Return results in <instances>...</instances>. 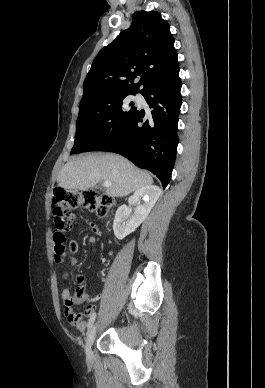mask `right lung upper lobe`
<instances>
[{"mask_svg": "<svg viewBox=\"0 0 265 388\" xmlns=\"http://www.w3.org/2000/svg\"><path fill=\"white\" fill-rule=\"evenodd\" d=\"M179 73L174 38L158 12L137 11L129 30L101 49L84 81L83 98L100 91L131 93ZM141 75L138 83L135 78ZM139 86L143 89L139 90Z\"/></svg>", "mask_w": 265, "mask_h": 388, "instance_id": "obj_1", "label": "right lung upper lobe"}]
</instances>
